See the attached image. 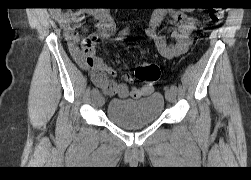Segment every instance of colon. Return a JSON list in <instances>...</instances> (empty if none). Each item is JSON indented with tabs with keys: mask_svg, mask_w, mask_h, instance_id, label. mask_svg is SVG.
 Wrapping results in <instances>:
<instances>
[{
	"mask_svg": "<svg viewBox=\"0 0 251 180\" xmlns=\"http://www.w3.org/2000/svg\"><path fill=\"white\" fill-rule=\"evenodd\" d=\"M223 16L224 11L221 8H213L209 12L210 20L213 23H219L222 20ZM135 77L144 85L153 86L160 77V70L154 64L143 63L135 69Z\"/></svg>",
	"mask_w": 251,
	"mask_h": 180,
	"instance_id": "1",
	"label": "colon"
}]
</instances>
